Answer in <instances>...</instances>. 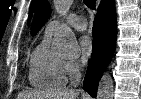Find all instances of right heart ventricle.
<instances>
[{
	"label": "right heart ventricle",
	"instance_id": "obj_1",
	"mask_svg": "<svg viewBox=\"0 0 141 99\" xmlns=\"http://www.w3.org/2000/svg\"><path fill=\"white\" fill-rule=\"evenodd\" d=\"M51 35L45 32L43 39L31 55L28 79L30 84L37 89H59L66 83L65 60L50 50Z\"/></svg>",
	"mask_w": 141,
	"mask_h": 99
}]
</instances>
